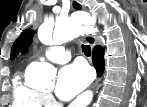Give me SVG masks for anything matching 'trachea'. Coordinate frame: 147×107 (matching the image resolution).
Masks as SVG:
<instances>
[{"label": "trachea", "instance_id": "obj_1", "mask_svg": "<svg viewBox=\"0 0 147 107\" xmlns=\"http://www.w3.org/2000/svg\"><path fill=\"white\" fill-rule=\"evenodd\" d=\"M82 50H83L85 56L91 55V48L89 45H82Z\"/></svg>", "mask_w": 147, "mask_h": 107}]
</instances>
